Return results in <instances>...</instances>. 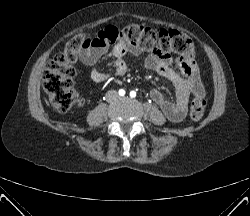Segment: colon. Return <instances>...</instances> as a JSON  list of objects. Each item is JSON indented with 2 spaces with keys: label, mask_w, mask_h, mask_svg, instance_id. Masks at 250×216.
Returning a JSON list of instances; mask_svg holds the SVG:
<instances>
[{
  "label": "colon",
  "mask_w": 250,
  "mask_h": 216,
  "mask_svg": "<svg viewBox=\"0 0 250 216\" xmlns=\"http://www.w3.org/2000/svg\"><path fill=\"white\" fill-rule=\"evenodd\" d=\"M117 41L145 50L159 49L163 53L173 52L185 59L194 56L192 40L176 30H154L141 24H130L123 27L108 26L95 37L78 35L72 38L62 52L54 56L47 64L43 74V88L52 106L60 112H68L82 104V100L73 88L74 66L78 52L89 46L106 47ZM206 108L204 96H193L190 106V117L193 120L202 118Z\"/></svg>",
  "instance_id": "obj_1"
}]
</instances>
